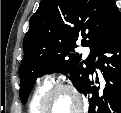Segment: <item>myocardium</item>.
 Returning <instances> with one entry per match:
<instances>
[{
	"mask_svg": "<svg viewBox=\"0 0 121 113\" xmlns=\"http://www.w3.org/2000/svg\"><path fill=\"white\" fill-rule=\"evenodd\" d=\"M60 91L69 92L74 97L76 104L73 110L83 109L84 101H83L82 95L80 94L79 90L75 86L68 84V83H54V84L49 85L43 91L42 96L39 100L37 109H47L44 107V105L47 104L49 98L53 94L58 93Z\"/></svg>",
	"mask_w": 121,
	"mask_h": 113,
	"instance_id": "myocardium-1",
	"label": "myocardium"
}]
</instances>
